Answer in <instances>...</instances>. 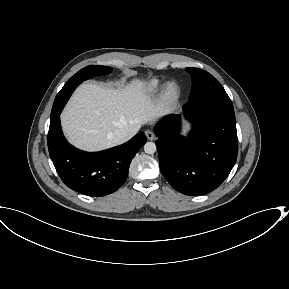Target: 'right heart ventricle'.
<instances>
[{
	"instance_id": "right-heart-ventricle-1",
	"label": "right heart ventricle",
	"mask_w": 289,
	"mask_h": 289,
	"mask_svg": "<svg viewBox=\"0 0 289 289\" xmlns=\"http://www.w3.org/2000/svg\"><path fill=\"white\" fill-rule=\"evenodd\" d=\"M161 81L158 79H151L145 86V89L149 93L156 92L161 87Z\"/></svg>"
}]
</instances>
